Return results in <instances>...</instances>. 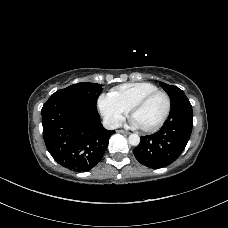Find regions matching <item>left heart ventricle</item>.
I'll return each mask as SVG.
<instances>
[{
	"label": "left heart ventricle",
	"instance_id": "obj_1",
	"mask_svg": "<svg viewBox=\"0 0 228 228\" xmlns=\"http://www.w3.org/2000/svg\"><path fill=\"white\" fill-rule=\"evenodd\" d=\"M166 109V99L158 94L152 97L146 104L135 110L132 118L139 127L145 128L156 124L163 116Z\"/></svg>",
	"mask_w": 228,
	"mask_h": 228
}]
</instances>
